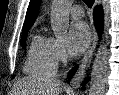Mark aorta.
Returning a JSON list of instances; mask_svg holds the SVG:
<instances>
[{
    "label": "aorta",
    "mask_w": 119,
    "mask_h": 95,
    "mask_svg": "<svg viewBox=\"0 0 119 95\" xmlns=\"http://www.w3.org/2000/svg\"><path fill=\"white\" fill-rule=\"evenodd\" d=\"M73 0H53L51 25L56 38L67 37L69 12ZM108 68V52L104 43L100 44L92 66L89 95H104Z\"/></svg>",
    "instance_id": "aorta-1"
}]
</instances>
